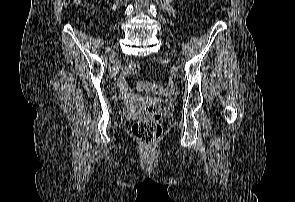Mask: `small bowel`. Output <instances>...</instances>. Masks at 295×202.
Instances as JSON below:
<instances>
[{"label": "small bowel", "mask_w": 295, "mask_h": 202, "mask_svg": "<svg viewBox=\"0 0 295 202\" xmlns=\"http://www.w3.org/2000/svg\"><path fill=\"white\" fill-rule=\"evenodd\" d=\"M117 90L118 98H127L124 107H153V102H149V98H130L126 81H117Z\"/></svg>", "instance_id": "1"}]
</instances>
